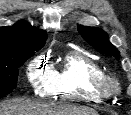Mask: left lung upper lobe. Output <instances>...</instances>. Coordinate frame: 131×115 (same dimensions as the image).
Instances as JSON below:
<instances>
[{
    "mask_svg": "<svg viewBox=\"0 0 131 115\" xmlns=\"http://www.w3.org/2000/svg\"><path fill=\"white\" fill-rule=\"evenodd\" d=\"M78 31L82 38L98 52L113 55L116 58L119 57V52L116 47L109 42L108 36L104 30L80 25L78 26Z\"/></svg>",
    "mask_w": 131,
    "mask_h": 115,
    "instance_id": "obj_1",
    "label": "left lung upper lobe"
}]
</instances>
